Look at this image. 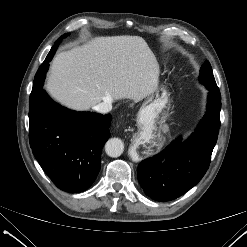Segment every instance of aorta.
Listing matches in <instances>:
<instances>
[{
  "label": "aorta",
  "instance_id": "aorta-1",
  "mask_svg": "<svg viewBox=\"0 0 247 247\" xmlns=\"http://www.w3.org/2000/svg\"><path fill=\"white\" fill-rule=\"evenodd\" d=\"M124 151V143L119 138H111L105 144V152L110 157H119Z\"/></svg>",
  "mask_w": 247,
  "mask_h": 247
}]
</instances>
